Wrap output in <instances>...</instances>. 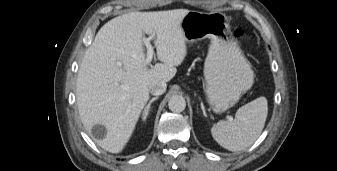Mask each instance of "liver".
Here are the masks:
<instances>
[{"label": "liver", "mask_w": 337, "mask_h": 171, "mask_svg": "<svg viewBox=\"0 0 337 171\" xmlns=\"http://www.w3.org/2000/svg\"><path fill=\"white\" fill-rule=\"evenodd\" d=\"M188 9L131 12L104 24L87 49L77 78V104L88 132L95 124L106 128L98 145L119 153L129 141L154 80L170 81L186 57L181 28ZM144 34L154 36L157 58L145 65Z\"/></svg>", "instance_id": "liver-1"}]
</instances>
